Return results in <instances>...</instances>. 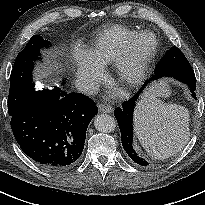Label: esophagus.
I'll list each match as a JSON object with an SVG mask.
<instances>
[{
	"instance_id": "obj_1",
	"label": "esophagus",
	"mask_w": 205,
	"mask_h": 205,
	"mask_svg": "<svg viewBox=\"0 0 205 205\" xmlns=\"http://www.w3.org/2000/svg\"><path fill=\"white\" fill-rule=\"evenodd\" d=\"M98 110L103 113H112L113 108L108 105H99Z\"/></svg>"
}]
</instances>
